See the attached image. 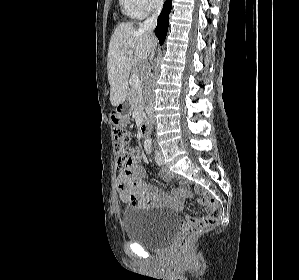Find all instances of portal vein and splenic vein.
I'll return each mask as SVG.
<instances>
[{
    "mask_svg": "<svg viewBox=\"0 0 299 280\" xmlns=\"http://www.w3.org/2000/svg\"><path fill=\"white\" fill-rule=\"evenodd\" d=\"M130 54H132V51L129 52ZM141 86V81L139 79V77L135 74L132 75V88L133 89H138Z\"/></svg>",
    "mask_w": 299,
    "mask_h": 280,
    "instance_id": "portal-vein-and-splenic-vein-1",
    "label": "portal vein and splenic vein"
}]
</instances>
